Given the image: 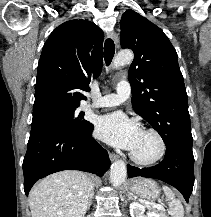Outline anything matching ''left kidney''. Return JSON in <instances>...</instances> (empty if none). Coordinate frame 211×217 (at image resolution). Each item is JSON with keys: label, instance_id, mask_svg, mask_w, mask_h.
<instances>
[{"label": "left kidney", "instance_id": "left-kidney-1", "mask_svg": "<svg viewBox=\"0 0 211 217\" xmlns=\"http://www.w3.org/2000/svg\"><path fill=\"white\" fill-rule=\"evenodd\" d=\"M145 208L143 205L139 204L138 202H132L130 204V215L131 217H159L154 212H147V216H144Z\"/></svg>", "mask_w": 211, "mask_h": 217}]
</instances>
